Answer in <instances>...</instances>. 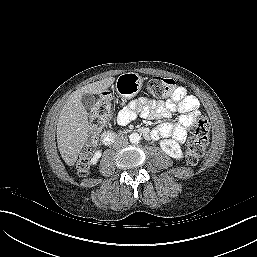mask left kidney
I'll list each match as a JSON object with an SVG mask.
<instances>
[{
	"label": "left kidney",
	"mask_w": 257,
	"mask_h": 257,
	"mask_svg": "<svg viewBox=\"0 0 257 257\" xmlns=\"http://www.w3.org/2000/svg\"><path fill=\"white\" fill-rule=\"evenodd\" d=\"M161 149L170 157L180 160L183 153L178 142L173 139H164L160 141Z\"/></svg>",
	"instance_id": "obj_1"
}]
</instances>
